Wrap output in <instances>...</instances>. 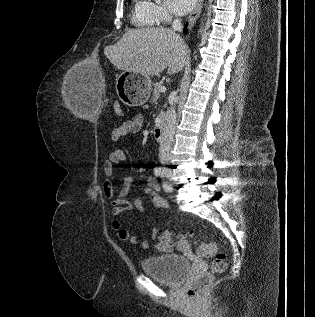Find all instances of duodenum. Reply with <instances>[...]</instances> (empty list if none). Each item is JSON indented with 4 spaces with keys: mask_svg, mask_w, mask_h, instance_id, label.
Instances as JSON below:
<instances>
[{
    "mask_svg": "<svg viewBox=\"0 0 315 317\" xmlns=\"http://www.w3.org/2000/svg\"><path fill=\"white\" fill-rule=\"evenodd\" d=\"M165 134V120L160 118L154 128L153 135L154 138L158 141L162 140Z\"/></svg>",
    "mask_w": 315,
    "mask_h": 317,
    "instance_id": "duodenum-1",
    "label": "duodenum"
}]
</instances>
